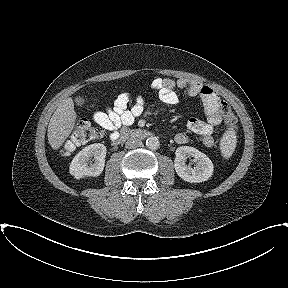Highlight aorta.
<instances>
[{
	"mask_svg": "<svg viewBox=\"0 0 288 288\" xmlns=\"http://www.w3.org/2000/svg\"><path fill=\"white\" fill-rule=\"evenodd\" d=\"M146 146L151 150H156L159 148L160 142L157 137L151 136L146 140Z\"/></svg>",
	"mask_w": 288,
	"mask_h": 288,
	"instance_id": "1",
	"label": "aorta"
}]
</instances>
